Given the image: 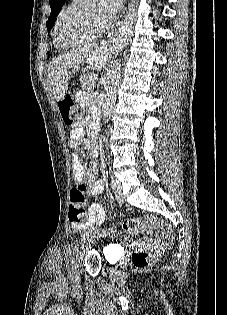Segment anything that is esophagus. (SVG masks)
Segmentation results:
<instances>
[{
	"label": "esophagus",
	"instance_id": "esophagus-1",
	"mask_svg": "<svg viewBox=\"0 0 227 315\" xmlns=\"http://www.w3.org/2000/svg\"><path fill=\"white\" fill-rule=\"evenodd\" d=\"M127 18H128V15L125 16V19H124V20H122V21H120V22L118 23V28H119L121 25H123V23H124L125 21H127ZM117 36H118V32H117V30H115V31L112 32V34L110 35V38H109V40L107 41V44H108V45H111V43L115 40V38H117Z\"/></svg>",
	"mask_w": 227,
	"mask_h": 315
}]
</instances>
